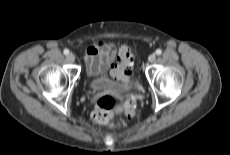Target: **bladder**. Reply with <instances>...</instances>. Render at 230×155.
Wrapping results in <instances>:
<instances>
[{
	"label": "bladder",
	"mask_w": 230,
	"mask_h": 155,
	"mask_svg": "<svg viewBox=\"0 0 230 155\" xmlns=\"http://www.w3.org/2000/svg\"><path fill=\"white\" fill-rule=\"evenodd\" d=\"M90 86L96 90L106 89V90H112L117 93L123 92L128 88L127 83L114 81L106 77L93 78L90 81Z\"/></svg>",
	"instance_id": "obj_1"
}]
</instances>
